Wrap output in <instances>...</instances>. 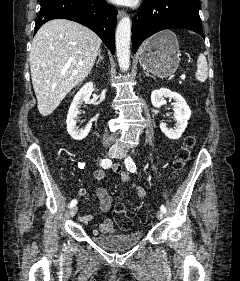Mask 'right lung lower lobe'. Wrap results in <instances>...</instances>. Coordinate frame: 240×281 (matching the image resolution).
<instances>
[{"label": "right lung lower lobe", "instance_id": "obj_1", "mask_svg": "<svg viewBox=\"0 0 240 281\" xmlns=\"http://www.w3.org/2000/svg\"><path fill=\"white\" fill-rule=\"evenodd\" d=\"M40 5L34 34L49 20L69 19L93 30L114 54L117 10L106 0H41Z\"/></svg>", "mask_w": 240, "mask_h": 281}]
</instances>
